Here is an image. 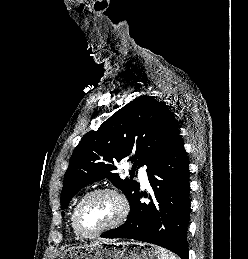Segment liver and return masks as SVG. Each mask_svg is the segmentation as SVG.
Wrapping results in <instances>:
<instances>
[{
	"mask_svg": "<svg viewBox=\"0 0 248 259\" xmlns=\"http://www.w3.org/2000/svg\"><path fill=\"white\" fill-rule=\"evenodd\" d=\"M108 242H115V240L114 239H99V240L93 242L92 244L85 245V246L98 245L100 243H108Z\"/></svg>",
	"mask_w": 248,
	"mask_h": 259,
	"instance_id": "1",
	"label": "liver"
}]
</instances>
